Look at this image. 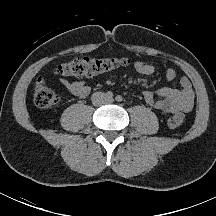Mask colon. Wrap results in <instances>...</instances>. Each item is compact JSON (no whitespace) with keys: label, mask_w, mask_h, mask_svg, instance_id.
<instances>
[{"label":"colon","mask_w":216,"mask_h":216,"mask_svg":"<svg viewBox=\"0 0 216 216\" xmlns=\"http://www.w3.org/2000/svg\"><path fill=\"white\" fill-rule=\"evenodd\" d=\"M126 63L125 59L116 57H82L59 65L56 68V73L62 76L90 78L125 66ZM57 101V95L47 86L45 79L39 77L34 86V103L36 106L41 109H49L54 106ZM184 122V114L177 113L169 118L168 126L171 129H179L183 126Z\"/></svg>","instance_id":"5ec220e1"}]
</instances>
